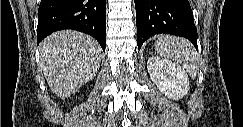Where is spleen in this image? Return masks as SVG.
<instances>
[{"label":"spleen","mask_w":243,"mask_h":127,"mask_svg":"<svg viewBox=\"0 0 243 127\" xmlns=\"http://www.w3.org/2000/svg\"><path fill=\"white\" fill-rule=\"evenodd\" d=\"M155 47L161 56L182 64L192 78L196 77L197 53L189 41L172 36H161L155 43Z\"/></svg>","instance_id":"3e777b00"}]
</instances>
